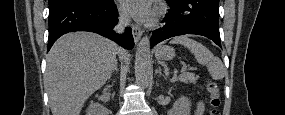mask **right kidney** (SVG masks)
Wrapping results in <instances>:
<instances>
[{
    "label": "right kidney",
    "instance_id": "right-kidney-1",
    "mask_svg": "<svg viewBox=\"0 0 285 115\" xmlns=\"http://www.w3.org/2000/svg\"><path fill=\"white\" fill-rule=\"evenodd\" d=\"M87 115H107V111L101 104L96 103L88 107Z\"/></svg>",
    "mask_w": 285,
    "mask_h": 115
}]
</instances>
